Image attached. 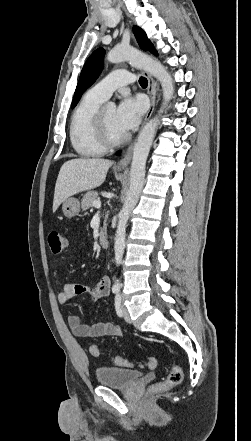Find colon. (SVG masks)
<instances>
[{"label":"colon","instance_id":"colon-1","mask_svg":"<svg viewBox=\"0 0 251 441\" xmlns=\"http://www.w3.org/2000/svg\"><path fill=\"white\" fill-rule=\"evenodd\" d=\"M48 244H49L51 251L55 254H58V253H61L64 250V248L66 247L67 239H66L65 235H63L61 232H59L57 230H52L48 234ZM89 352L94 357L99 356L98 346L95 344L90 345ZM112 360L119 367L131 368L134 366L133 362H131L127 359L121 358L119 356L113 357ZM155 365H156L155 358L150 357V358H148V360L146 361L144 366H146L148 368H153V367H155ZM182 379H183V372H182L181 368L178 365H172L167 376L163 380L156 382L151 386V391L152 392H161V391L168 390V389L180 384L182 382Z\"/></svg>","mask_w":251,"mask_h":441}]
</instances>
